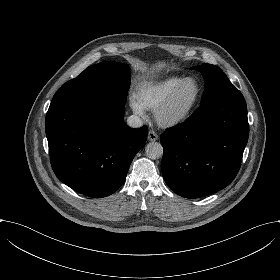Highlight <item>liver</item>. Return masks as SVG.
<instances>
[{
	"label": "liver",
	"mask_w": 280,
	"mask_h": 280,
	"mask_svg": "<svg viewBox=\"0 0 280 280\" xmlns=\"http://www.w3.org/2000/svg\"><path fill=\"white\" fill-rule=\"evenodd\" d=\"M164 66H165V63H164V62H159V63L156 64V68H157V69H161V68H163Z\"/></svg>",
	"instance_id": "liver-1"
}]
</instances>
